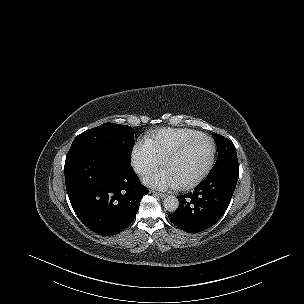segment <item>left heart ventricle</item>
I'll list each match as a JSON object with an SVG mask.
<instances>
[{
	"instance_id": "left-heart-ventricle-1",
	"label": "left heart ventricle",
	"mask_w": 304,
	"mask_h": 304,
	"mask_svg": "<svg viewBox=\"0 0 304 304\" xmlns=\"http://www.w3.org/2000/svg\"><path fill=\"white\" fill-rule=\"evenodd\" d=\"M211 154V143L202 140L170 162L167 173L178 183L189 182L205 167Z\"/></svg>"
}]
</instances>
